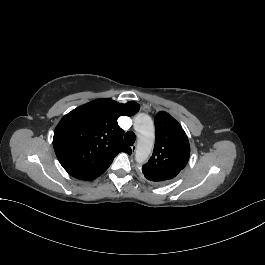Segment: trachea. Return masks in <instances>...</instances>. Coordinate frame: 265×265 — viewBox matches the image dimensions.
I'll return each mask as SVG.
<instances>
[{
    "label": "trachea",
    "instance_id": "trachea-1",
    "mask_svg": "<svg viewBox=\"0 0 265 265\" xmlns=\"http://www.w3.org/2000/svg\"><path fill=\"white\" fill-rule=\"evenodd\" d=\"M135 133L132 131H128L126 132V134L124 135V140L128 145H133L135 143Z\"/></svg>",
    "mask_w": 265,
    "mask_h": 265
}]
</instances>
